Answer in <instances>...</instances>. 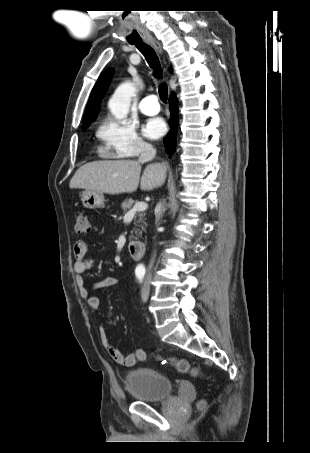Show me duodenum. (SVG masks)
<instances>
[{
    "label": "duodenum",
    "mask_w": 310,
    "mask_h": 453,
    "mask_svg": "<svg viewBox=\"0 0 310 453\" xmlns=\"http://www.w3.org/2000/svg\"><path fill=\"white\" fill-rule=\"evenodd\" d=\"M128 250L133 259L139 260L145 254L146 245L142 241H132L128 245Z\"/></svg>",
    "instance_id": "410a0bca"
}]
</instances>
